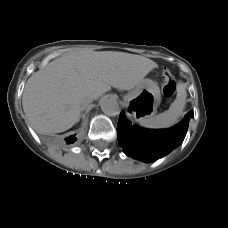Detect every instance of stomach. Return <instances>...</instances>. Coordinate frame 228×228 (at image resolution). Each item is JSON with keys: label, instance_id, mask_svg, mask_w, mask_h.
Returning <instances> with one entry per match:
<instances>
[{"label": "stomach", "instance_id": "0dacf381", "mask_svg": "<svg viewBox=\"0 0 228 228\" xmlns=\"http://www.w3.org/2000/svg\"><path fill=\"white\" fill-rule=\"evenodd\" d=\"M124 99L130 103L133 115L141 121L146 117L154 116L156 113L161 102L160 89L156 82L143 79Z\"/></svg>", "mask_w": 228, "mask_h": 228}]
</instances>
